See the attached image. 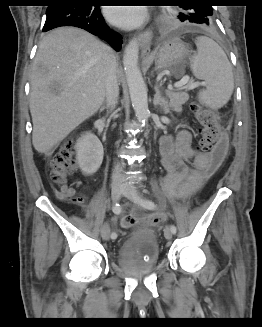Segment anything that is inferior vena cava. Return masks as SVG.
Wrapping results in <instances>:
<instances>
[{"mask_svg": "<svg viewBox=\"0 0 262 327\" xmlns=\"http://www.w3.org/2000/svg\"><path fill=\"white\" fill-rule=\"evenodd\" d=\"M106 102L107 107L113 110L119 98V84L117 77V63L113 61L109 67L107 79H106ZM122 167L120 164H116L112 174L113 182L123 181Z\"/></svg>", "mask_w": 262, "mask_h": 327, "instance_id": "1", "label": "inferior vena cava"}]
</instances>
